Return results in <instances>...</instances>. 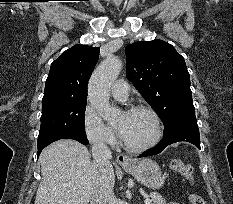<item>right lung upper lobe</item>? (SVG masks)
I'll use <instances>...</instances> for the list:
<instances>
[{"instance_id": "1", "label": "right lung upper lobe", "mask_w": 233, "mask_h": 204, "mask_svg": "<svg viewBox=\"0 0 233 204\" xmlns=\"http://www.w3.org/2000/svg\"><path fill=\"white\" fill-rule=\"evenodd\" d=\"M99 47L75 45L52 62L42 102L87 99V82Z\"/></svg>"}]
</instances>
